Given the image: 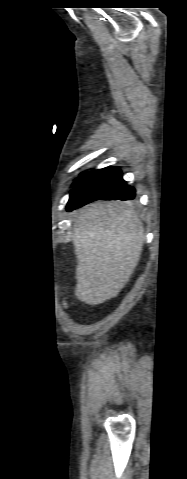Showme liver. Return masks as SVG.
Masks as SVG:
<instances>
[{"mask_svg":"<svg viewBox=\"0 0 187 479\" xmlns=\"http://www.w3.org/2000/svg\"><path fill=\"white\" fill-rule=\"evenodd\" d=\"M73 231L77 299L97 305L116 297L140 259L141 220L127 203L95 202L78 212Z\"/></svg>","mask_w":187,"mask_h":479,"instance_id":"liver-1","label":"liver"}]
</instances>
